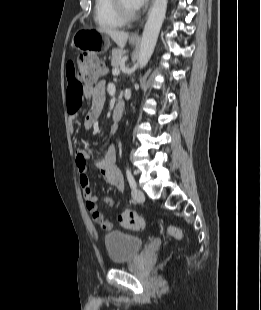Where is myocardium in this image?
<instances>
[{"instance_id":"1","label":"myocardium","mask_w":261,"mask_h":310,"mask_svg":"<svg viewBox=\"0 0 261 310\" xmlns=\"http://www.w3.org/2000/svg\"><path fill=\"white\" fill-rule=\"evenodd\" d=\"M111 3L115 13L123 22L132 21L138 16V13L136 11H128L124 7L122 0H111Z\"/></svg>"}]
</instances>
